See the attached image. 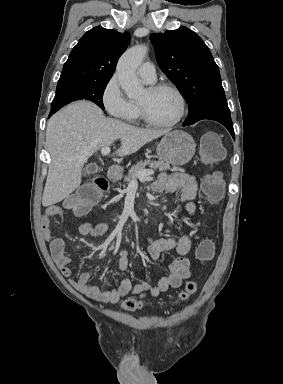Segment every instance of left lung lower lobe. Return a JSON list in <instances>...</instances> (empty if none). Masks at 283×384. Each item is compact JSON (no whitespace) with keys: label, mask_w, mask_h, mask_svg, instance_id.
Listing matches in <instances>:
<instances>
[{"label":"left lung lower lobe","mask_w":283,"mask_h":384,"mask_svg":"<svg viewBox=\"0 0 283 384\" xmlns=\"http://www.w3.org/2000/svg\"><path fill=\"white\" fill-rule=\"evenodd\" d=\"M206 119H211V120H215V121L220 122L222 125H224L228 129V131L232 135L233 139L235 138L234 129H233V123H232V120H231L230 116L209 117V118H206ZM192 124H194V123H192ZM192 124H185V123H183V126L192 125Z\"/></svg>","instance_id":"left-lung-lower-lobe-1"}]
</instances>
